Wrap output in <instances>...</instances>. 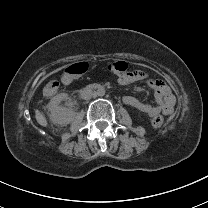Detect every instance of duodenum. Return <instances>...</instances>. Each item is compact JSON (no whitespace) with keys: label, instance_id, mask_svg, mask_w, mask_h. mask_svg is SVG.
Wrapping results in <instances>:
<instances>
[{"label":"duodenum","instance_id":"obj_1","mask_svg":"<svg viewBox=\"0 0 208 208\" xmlns=\"http://www.w3.org/2000/svg\"><path fill=\"white\" fill-rule=\"evenodd\" d=\"M95 87H96V88H99L100 86H99V85H95Z\"/></svg>","mask_w":208,"mask_h":208}]
</instances>
